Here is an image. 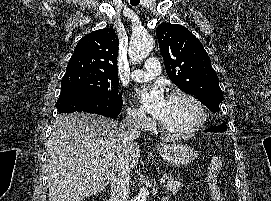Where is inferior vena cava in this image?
Returning a JSON list of instances; mask_svg holds the SVG:
<instances>
[{
  "instance_id": "inferior-vena-cava-1",
  "label": "inferior vena cava",
  "mask_w": 271,
  "mask_h": 201,
  "mask_svg": "<svg viewBox=\"0 0 271 201\" xmlns=\"http://www.w3.org/2000/svg\"><path fill=\"white\" fill-rule=\"evenodd\" d=\"M143 112H130L120 123L121 139L124 143L131 142L140 135V122L144 119ZM130 166L122 160L117 166L111 180L110 201H127L129 197Z\"/></svg>"
}]
</instances>
